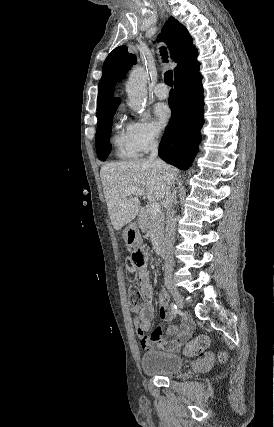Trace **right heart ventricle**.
Instances as JSON below:
<instances>
[{"label":"right heart ventricle","mask_w":274,"mask_h":427,"mask_svg":"<svg viewBox=\"0 0 274 427\" xmlns=\"http://www.w3.org/2000/svg\"><path fill=\"white\" fill-rule=\"evenodd\" d=\"M111 142L114 154L117 158L123 160H134L139 156V151L132 142L127 127H117L112 136Z\"/></svg>","instance_id":"right-heart-ventricle-1"}]
</instances>
